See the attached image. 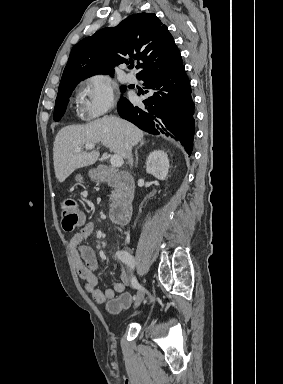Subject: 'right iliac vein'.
I'll list each match as a JSON object with an SVG mask.
<instances>
[{
    "label": "right iliac vein",
    "instance_id": "1",
    "mask_svg": "<svg viewBox=\"0 0 283 384\" xmlns=\"http://www.w3.org/2000/svg\"><path fill=\"white\" fill-rule=\"evenodd\" d=\"M143 298H144V290H141L137 296L136 306H138L140 304V302L143 300Z\"/></svg>",
    "mask_w": 283,
    "mask_h": 384
}]
</instances>
